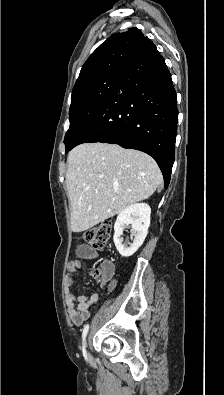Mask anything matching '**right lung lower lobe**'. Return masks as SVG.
<instances>
[{"label": "right lung lower lobe", "mask_w": 224, "mask_h": 395, "mask_svg": "<svg viewBox=\"0 0 224 395\" xmlns=\"http://www.w3.org/2000/svg\"><path fill=\"white\" fill-rule=\"evenodd\" d=\"M177 119L171 74L156 46L146 37L72 148L102 142L143 151L156 160L167 188L174 163Z\"/></svg>", "instance_id": "1"}]
</instances>
